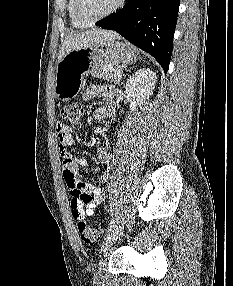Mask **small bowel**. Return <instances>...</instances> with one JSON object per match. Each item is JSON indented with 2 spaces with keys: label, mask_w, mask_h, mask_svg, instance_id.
Returning a JSON list of instances; mask_svg holds the SVG:
<instances>
[{
  "label": "small bowel",
  "mask_w": 233,
  "mask_h": 286,
  "mask_svg": "<svg viewBox=\"0 0 233 286\" xmlns=\"http://www.w3.org/2000/svg\"><path fill=\"white\" fill-rule=\"evenodd\" d=\"M96 97H102L104 104L94 111V119L103 120L112 117L115 113L112 87L108 85H89L82 94L84 101ZM56 130L59 140V152L63 158V176L72 196V214L75 218L90 216L97 204L104 199L105 191L103 188L86 182L78 176L77 169L86 167L88 162L84 157L69 152V147L74 141L71 127L58 123ZM98 158L101 164L100 182L105 183L109 179L111 169L112 154L109 148L100 147L98 149Z\"/></svg>",
  "instance_id": "c3829d8e"
}]
</instances>
